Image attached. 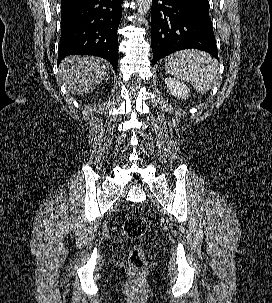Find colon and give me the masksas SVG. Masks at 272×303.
Returning <instances> with one entry per match:
<instances>
[{"label":"colon","instance_id":"5ec220e1","mask_svg":"<svg viewBox=\"0 0 272 303\" xmlns=\"http://www.w3.org/2000/svg\"><path fill=\"white\" fill-rule=\"evenodd\" d=\"M147 221L140 215H129L123 224V229L127 237L131 239L142 238L147 231ZM129 265L133 272L140 273L146 265V259L143 249L140 246H134L129 253Z\"/></svg>","mask_w":272,"mask_h":303}]
</instances>
